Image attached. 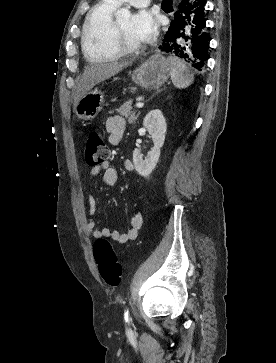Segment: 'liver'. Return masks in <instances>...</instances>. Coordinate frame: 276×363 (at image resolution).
<instances>
[{"instance_id": "6515ba94", "label": "liver", "mask_w": 276, "mask_h": 363, "mask_svg": "<svg viewBox=\"0 0 276 363\" xmlns=\"http://www.w3.org/2000/svg\"><path fill=\"white\" fill-rule=\"evenodd\" d=\"M129 64V62H112L95 64L87 67L84 70L76 89L74 96V108L76 107L79 99L85 93L91 90L98 83L115 76Z\"/></svg>"}]
</instances>
